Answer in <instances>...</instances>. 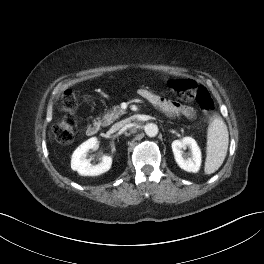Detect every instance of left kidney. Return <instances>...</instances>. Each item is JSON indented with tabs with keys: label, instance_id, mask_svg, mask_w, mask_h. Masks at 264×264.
Segmentation results:
<instances>
[{
	"label": "left kidney",
	"instance_id": "left-kidney-1",
	"mask_svg": "<svg viewBox=\"0 0 264 264\" xmlns=\"http://www.w3.org/2000/svg\"><path fill=\"white\" fill-rule=\"evenodd\" d=\"M187 147L191 150V157L185 158L182 150ZM172 151L180 168L188 172H198L201 166V150L193 138L184 137L173 141Z\"/></svg>",
	"mask_w": 264,
	"mask_h": 264
}]
</instances>
